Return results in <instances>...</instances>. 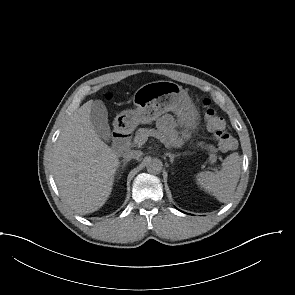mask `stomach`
I'll return each instance as SVG.
<instances>
[{
  "instance_id": "stomach-1",
  "label": "stomach",
  "mask_w": 295,
  "mask_h": 295,
  "mask_svg": "<svg viewBox=\"0 0 295 295\" xmlns=\"http://www.w3.org/2000/svg\"><path fill=\"white\" fill-rule=\"evenodd\" d=\"M135 110L120 113L118 123L128 130L139 124L155 121L162 114L172 111L182 125L196 128L199 114L196 106L182 86L172 81H156L143 85L134 97Z\"/></svg>"
}]
</instances>
